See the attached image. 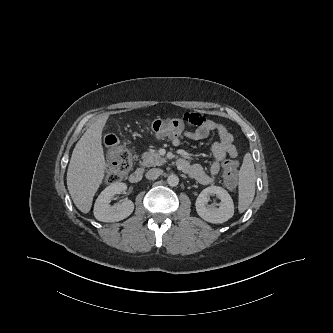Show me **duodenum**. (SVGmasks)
Wrapping results in <instances>:
<instances>
[{
    "instance_id": "1",
    "label": "duodenum",
    "mask_w": 333,
    "mask_h": 333,
    "mask_svg": "<svg viewBox=\"0 0 333 333\" xmlns=\"http://www.w3.org/2000/svg\"><path fill=\"white\" fill-rule=\"evenodd\" d=\"M179 163H181L180 160L178 161V165ZM142 177H143V170L141 168H138L130 174L129 181L132 184H137L142 180Z\"/></svg>"
}]
</instances>
